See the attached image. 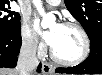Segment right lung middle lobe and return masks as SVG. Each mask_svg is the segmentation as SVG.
<instances>
[{"label": "right lung middle lobe", "mask_w": 102, "mask_h": 75, "mask_svg": "<svg viewBox=\"0 0 102 75\" xmlns=\"http://www.w3.org/2000/svg\"><path fill=\"white\" fill-rule=\"evenodd\" d=\"M9 9V2H0V32L15 33L20 30V16Z\"/></svg>", "instance_id": "1"}]
</instances>
